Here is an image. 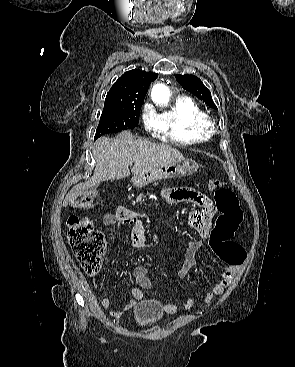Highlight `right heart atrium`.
<instances>
[{"label": "right heart atrium", "mask_w": 295, "mask_h": 367, "mask_svg": "<svg viewBox=\"0 0 295 367\" xmlns=\"http://www.w3.org/2000/svg\"><path fill=\"white\" fill-rule=\"evenodd\" d=\"M142 119L144 126L147 131L158 134V124L157 121L152 113V109L149 106H146L143 110Z\"/></svg>", "instance_id": "right-heart-atrium-1"}]
</instances>
